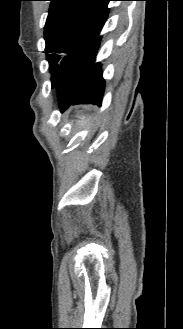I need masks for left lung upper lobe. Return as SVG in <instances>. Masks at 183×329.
I'll return each instance as SVG.
<instances>
[{"label": "left lung upper lobe", "instance_id": "obj_1", "mask_svg": "<svg viewBox=\"0 0 183 329\" xmlns=\"http://www.w3.org/2000/svg\"><path fill=\"white\" fill-rule=\"evenodd\" d=\"M44 38L53 83L60 64L109 13L113 0H49ZM65 54L64 57L61 54Z\"/></svg>", "mask_w": 183, "mask_h": 329}]
</instances>
